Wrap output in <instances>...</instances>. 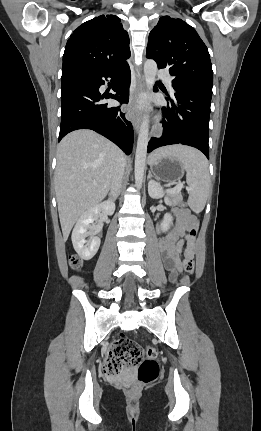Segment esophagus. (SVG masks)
<instances>
[{
    "instance_id": "34e87169",
    "label": "esophagus",
    "mask_w": 261,
    "mask_h": 431,
    "mask_svg": "<svg viewBox=\"0 0 261 431\" xmlns=\"http://www.w3.org/2000/svg\"><path fill=\"white\" fill-rule=\"evenodd\" d=\"M144 88V78L143 76H140L137 80L135 88L130 90V101L126 112V117L132 122L136 132H138L141 124L142 112L139 104L144 92Z\"/></svg>"
}]
</instances>
